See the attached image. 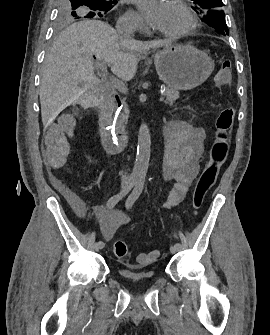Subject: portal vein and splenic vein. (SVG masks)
<instances>
[{
  "mask_svg": "<svg viewBox=\"0 0 270 335\" xmlns=\"http://www.w3.org/2000/svg\"><path fill=\"white\" fill-rule=\"evenodd\" d=\"M94 65L98 67L100 71H104V75H108V72H105L107 69L106 62L103 58H98L97 61L94 62ZM107 83H112V86L116 91H119L120 93H125L126 91H129V88H126L125 86H120L116 80H107ZM164 90H161V94H163ZM165 99L163 97L159 98V101L163 102Z\"/></svg>",
  "mask_w": 270,
  "mask_h": 335,
  "instance_id": "1",
  "label": "portal vein and splenic vein"
}]
</instances>
